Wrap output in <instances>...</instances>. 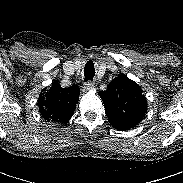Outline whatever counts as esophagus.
<instances>
[{
	"mask_svg": "<svg viewBox=\"0 0 183 183\" xmlns=\"http://www.w3.org/2000/svg\"><path fill=\"white\" fill-rule=\"evenodd\" d=\"M84 91H89L94 88V83L92 81H87L84 83Z\"/></svg>",
	"mask_w": 183,
	"mask_h": 183,
	"instance_id": "34e87169",
	"label": "esophagus"
}]
</instances>
